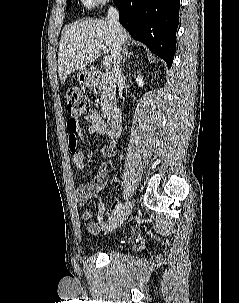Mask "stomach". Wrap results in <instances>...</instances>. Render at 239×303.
Here are the masks:
<instances>
[{"label":"stomach","instance_id":"1","mask_svg":"<svg viewBox=\"0 0 239 303\" xmlns=\"http://www.w3.org/2000/svg\"><path fill=\"white\" fill-rule=\"evenodd\" d=\"M77 79L82 86L87 87V86L93 85V78L91 76L90 71L87 69L79 70V72L77 74Z\"/></svg>","mask_w":239,"mask_h":303}]
</instances>
